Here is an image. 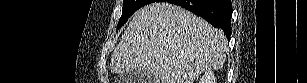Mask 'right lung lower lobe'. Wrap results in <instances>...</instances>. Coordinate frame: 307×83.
Instances as JSON below:
<instances>
[{
	"mask_svg": "<svg viewBox=\"0 0 307 83\" xmlns=\"http://www.w3.org/2000/svg\"><path fill=\"white\" fill-rule=\"evenodd\" d=\"M201 16L212 26L221 28L227 38L231 35V0H168ZM155 2V1H154Z\"/></svg>",
	"mask_w": 307,
	"mask_h": 83,
	"instance_id": "right-lung-lower-lobe-1",
	"label": "right lung lower lobe"
}]
</instances>
